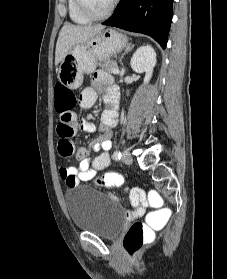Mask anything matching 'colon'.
<instances>
[{
  "instance_id": "obj_1",
  "label": "colon",
  "mask_w": 227,
  "mask_h": 279,
  "mask_svg": "<svg viewBox=\"0 0 227 279\" xmlns=\"http://www.w3.org/2000/svg\"><path fill=\"white\" fill-rule=\"evenodd\" d=\"M76 106V97L75 93L64 87L59 86L57 88V99L55 103V110L60 120L59 132L62 137L69 139L73 134L72 127V118H73V109ZM72 153V146L67 144L66 147L61 151V154L65 157L70 156ZM124 177L119 172H109L98 177L96 179V184L100 187H115L122 186L124 184ZM71 186L77 185V182L74 178L70 181ZM148 194L152 197L154 201L162 202L163 196L155 191H148ZM140 198H144L146 193L145 191L138 190L135 192ZM164 219H167L171 216L169 209H160ZM149 218L152 220L158 219L159 215L156 213H151ZM152 228L146 223L136 221L134 222L124 239V247L127 255L133 260L135 255L140 251L144 242L152 236Z\"/></svg>"
}]
</instances>
